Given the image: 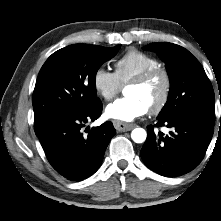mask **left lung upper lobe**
I'll list each match as a JSON object with an SVG mask.
<instances>
[{
	"mask_svg": "<svg viewBox=\"0 0 221 221\" xmlns=\"http://www.w3.org/2000/svg\"><path fill=\"white\" fill-rule=\"evenodd\" d=\"M144 49L156 52L165 61L170 78L168 100L158 118L191 113L214 123L213 88L198 60L185 48L172 43H151Z\"/></svg>",
	"mask_w": 221,
	"mask_h": 221,
	"instance_id": "left-lung-upper-lobe-1",
	"label": "left lung upper lobe"
}]
</instances>
